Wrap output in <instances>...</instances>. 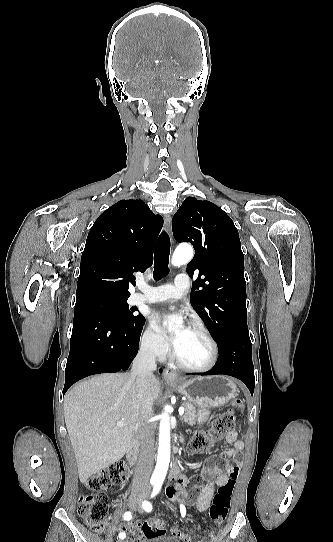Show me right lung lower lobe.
Masks as SVG:
<instances>
[{
    "label": "right lung lower lobe",
    "instance_id": "1",
    "mask_svg": "<svg viewBox=\"0 0 333 542\" xmlns=\"http://www.w3.org/2000/svg\"><path fill=\"white\" fill-rule=\"evenodd\" d=\"M96 255L104 257L101 251ZM144 323L130 327L95 303H76L63 394L89 375L127 370L138 352Z\"/></svg>",
    "mask_w": 333,
    "mask_h": 542
}]
</instances>
